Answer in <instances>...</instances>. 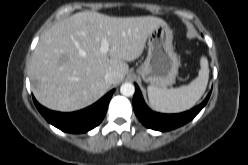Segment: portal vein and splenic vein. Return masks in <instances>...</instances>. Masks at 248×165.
I'll return each mask as SVG.
<instances>
[{
	"label": "portal vein and splenic vein",
	"instance_id": "portal-vein-and-splenic-vein-1",
	"mask_svg": "<svg viewBox=\"0 0 248 165\" xmlns=\"http://www.w3.org/2000/svg\"><path fill=\"white\" fill-rule=\"evenodd\" d=\"M108 51H109V43L106 38H103L101 40L100 52L102 54H106Z\"/></svg>",
	"mask_w": 248,
	"mask_h": 165
}]
</instances>
